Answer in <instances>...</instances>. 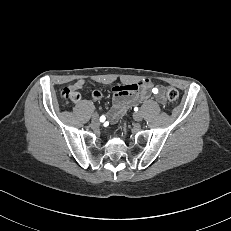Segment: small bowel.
Here are the masks:
<instances>
[{
  "label": "small bowel",
  "instance_id": "obj_1",
  "mask_svg": "<svg viewBox=\"0 0 231 231\" xmlns=\"http://www.w3.org/2000/svg\"><path fill=\"white\" fill-rule=\"evenodd\" d=\"M85 86L84 79H78L72 85L75 90H82ZM152 87L150 80H144L138 83H126L122 86L115 87L113 105L108 112V119L111 121H116L120 116L126 111L128 106L138 103L148 96V89ZM152 91V90H151ZM156 100L162 104L166 105V99L164 93L160 90V94H154ZM92 98L95 101H100L103 98V94L99 90H94L92 92Z\"/></svg>",
  "mask_w": 231,
  "mask_h": 231
}]
</instances>
